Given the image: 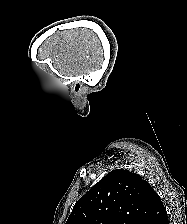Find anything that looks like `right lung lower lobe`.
Segmentation results:
<instances>
[{
  "instance_id": "1",
  "label": "right lung lower lobe",
  "mask_w": 187,
  "mask_h": 224,
  "mask_svg": "<svg viewBox=\"0 0 187 224\" xmlns=\"http://www.w3.org/2000/svg\"><path fill=\"white\" fill-rule=\"evenodd\" d=\"M161 224H169L168 216L165 217Z\"/></svg>"
}]
</instances>
